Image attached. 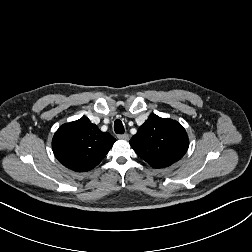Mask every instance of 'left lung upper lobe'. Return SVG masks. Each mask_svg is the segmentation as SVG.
I'll list each match as a JSON object with an SVG mask.
<instances>
[{
	"label": "left lung upper lobe",
	"mask_w": 252,
	"mask_h": 252,
	"mask_svg": "<svg viewBox=\"0 0 252 252\" xmlns=\"http://www.w3.org/2000/svg\"><path fill=\"white\" fill-rule=\"evenodd\" d=\"M130 145L153 168H162L183 157L189 140L177 121L152 114L131 138Z\"/></svg>",
	"instance_id": "obj_1"
}]
</instances>
